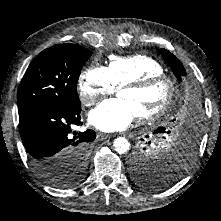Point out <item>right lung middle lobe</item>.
Listing matches in <instances>:
<instances>
[{
	"label": "right lung middle lobe",
	"instance_id": "right-lung-middle-lobe-1",
	"mask_svg": "<svg viewBox=\"0 0 221 221\" xmlns=\"http://www.w3.org/2000/svg\"><path fill=\"white\" fill-rule=\"evenodd\" d=\"M91 54L77 44H59L42 51L28 66L18 88V110L39 103L80 108L77 81ZM90 147L91 142L70 150L61 164L38 175L55 187L73 186L85 174Z\"/></svg>",
	"mask_w": 221,
	"mask_h": 221
}]
</instances>
